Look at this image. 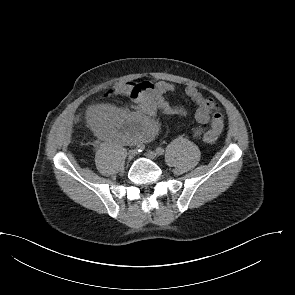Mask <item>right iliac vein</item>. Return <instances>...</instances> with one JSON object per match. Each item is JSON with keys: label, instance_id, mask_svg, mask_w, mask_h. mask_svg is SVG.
I'll list each match as a JSON object with an SVG mask.
<instances>
[{"label": "right iliac vein", "instance_id": "obj_1", "mask_svg": "<svg viewBox=\"0 0 295 295\" xmlns=\"http://www.w3.org/2000/svg\"><path fill=\"white\" fill-rule=\"evenodd\" d=\"M136 153H137L136 150H130L128 152V159L132 160L135 157Z\"/></svg>", "mask_w": 295, "mask_h": 295}]
</instances>
